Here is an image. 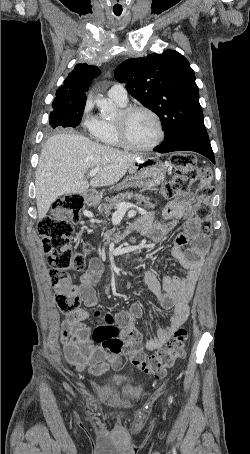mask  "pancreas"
<instances>
[{"label": "pancreas", "instance_id": "1", "mask_svg": "<svg viewBox=\"0 0 250 454\" xmlns=\"http://www.w3.org/2000/svg\"><path fill=\"white\" fill-rule=\"evenodd\" d=\"M131 197H133V193L126 192L124 194L117 195V196H115V197H113L111 199H106L105 202H103L101 204V207L99 208V212L100 213L104 212L106 215H109L111 213V211L113 209H115L120 202H123L125 199H130ZM136 197L139 200L145 201V198L143 196H141V195H136ZM146 203H147V207L148 208H154L155 207V204H152V203L149 202V198H147ZM113 232H114V230L107 231L105 233V237L108 240L112 239L111 235H113Z\"/></svg>", "mask_w": 250, "mask_h": 454}]
</instances>
